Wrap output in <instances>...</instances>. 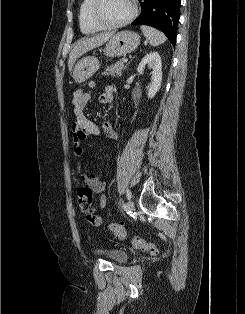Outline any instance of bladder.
Listing matches in <instances>:
<instances>
[{
	"label": "bladder",
	"instance_id": "bladder-1",
	"mask_svg": "<svg viewBox=\"0 0 245 314\" xmlns=\"http://www.w3.org/2000/svg\"><path fill=\"white\" fill-rule=\"evenodd\" d=\"M96 255H102L108 258L110 261L116 262V263H122L125 262L128 258L127 252L120 248L115 249H104V248H97L95 250Z\"/></svg>",
	"mask_w": 245,
	"mask_h": 314
}]
</instances>
